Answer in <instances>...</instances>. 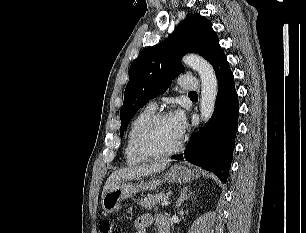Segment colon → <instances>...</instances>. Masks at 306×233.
<instances>
[{
	"instance_id": "5ec220e1",
	"label": "colon",
	"mask_w": 306,
	"mask_h": 233,
	"mask_svg": "<svg viewBox=\"0 0 306 233\" xmlns=\"http://www.w3.org/2000/svg\"><path fill=\"white\" fill-rule=\"evenodd\" d=\"M100 233H122L120 228L111 221H103L99 227Z\"/></svg>"
}]
</instances>
